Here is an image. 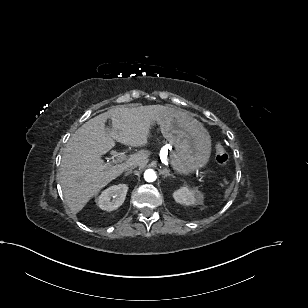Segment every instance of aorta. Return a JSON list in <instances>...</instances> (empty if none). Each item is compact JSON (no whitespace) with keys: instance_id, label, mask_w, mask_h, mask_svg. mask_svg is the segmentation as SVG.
<instances>
[{"instance_id":"obj_1","label":"aorta","mask_w":308,"mask_h":308,"mask_svg":"<svg viewBox=\"0 0 308 308\" xmlns=\"http://www.w3.org/2000/svg\"><path fill=\"white\" fill-rule=\"evenodd\" d=\"M157 176L153 169H148L144 172V179L147 182H154L156 180Z\"/></svg>"}]
</instances>
